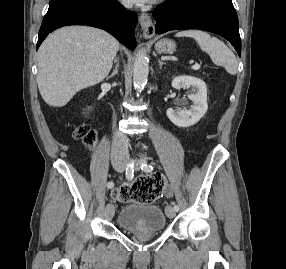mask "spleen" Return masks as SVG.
<instances>
[{
    "mask_svg": "<svg viewBox=\"0 0 286 269\" xmlns=\"http://www.w3.org/2000/svg\"><path fill=\"white\" fill-rule=\"evenodd\" d=\"M176 37H191L195 39L201 50L209 54L212 61L223 66L229 74H236L238 63L233 52L218 38L211 37L200 30H185L176 34Z\"/></svg>",
    "mask_w": 286,
    "mask_h": 269,
    "instance_id": "spleen-1",
    "label": "spleen"
}]
</instances>
